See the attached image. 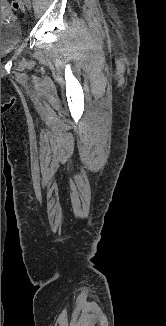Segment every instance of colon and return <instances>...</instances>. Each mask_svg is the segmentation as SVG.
<instances>
[{
  "instance_id": "5ec220e1",
  "label": "colon",
  "mask_w": 166,
  "mask_h": 326,
  "mask_svg": "<svg viewBox=\"0 0 166 326\" xmlns=\"http://www.w3.org/2000/svg\"><path fill=\"white\" fill-rule=\"evenodd\" d=\"M22 7V3H21V0H13L12 1V8L14 10H18Z\"/></svg>"
}]
</instances>
